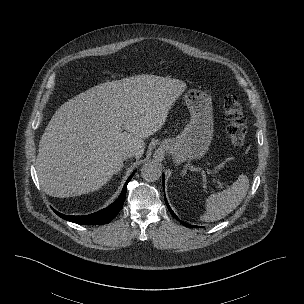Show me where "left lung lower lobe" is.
I'll return each mask as SVG.
<instances>
[{"label": "left lung lower lobe", "instance_id": "1", "mask_svg": "<svg viewBox=\"0 0 304 304\" xmlns=\"http://www.w3.org/2000/svg\"><path fill=\"white\" fill-rule=\"evenodd\" d=\"M163 181H164V179H163ZM165 202H166V205H167V207H168L170 213L173 215V217H174L175 219H178V217H177V216L174 214V212L171 210V208H170V206H169V204H168V202H167V200H166V197H165ZM180 223H182L183 225H185V226H187V227L198 228V226L190 225V224H187V223H185V222H183V221H180Z\"/></svg>", "mask_w": 304, "mask_h": 304}]
</instances>
